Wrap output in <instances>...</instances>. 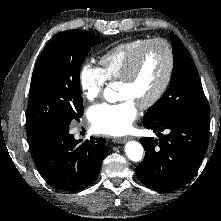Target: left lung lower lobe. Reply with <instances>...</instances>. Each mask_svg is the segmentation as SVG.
<instances>
[{
	"instance_id": "left-lung-lower-lobe-1",
	"label": "left lung lower lobe",
	"mask_w": 221,
	"mask_h": 221,
	"mask_svg": "<svg viewBox=\"0 0 221 221\" xmlns=\"http://www.w3.org/2000/svg\"><path fill=\"white\" fill-rule=\"evenodd\" d=\"M210 108L186 111L161 126L143 124L157 132L165 129L167 135L140 139L146 153L136 167L138 179L159 192H170L186 185L196 174L209 140Z\"/></svg>"
}]
</instances>
